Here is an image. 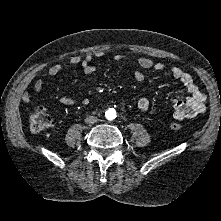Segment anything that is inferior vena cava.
Listing matches in <instances>:
<instances>
[{
	"mask_svg": "<svg viewBox=\"0 0 221 221\" xmlns=\"http://www.w3.org/2000/svg\"><path fill=\"white\" fill-rule=\"evenodd\" d=\"M97 121H98V118L95 117V116H89V117H87V118L85 119V122H86L87 124H94V123H96Z\"/></svg>",
	"mask_w": 221,
	"mask_h": 221,
	"instance_id": "obj_1",
	"label": "inferior vena cava"
}]
</instances>
